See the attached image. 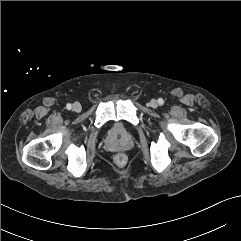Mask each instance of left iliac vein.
Masks as SVG:
<instances>
[{
  "label": "left iliac vein",
  "mask_w": 241,
  "mask_h": 241,
  "mask_svg": "<svg viewBox=\"0 0 241 241\" xmlns=\"http://www.w3.org/2000/svg\"><path fill=\"white\" fill-rule=\"evenodd\" d=\"M150 105L152 108H157L158 107V101L156 99H152L150 101Z\"/></svg>",
  "instance_id": "1"
}]
</instances>
